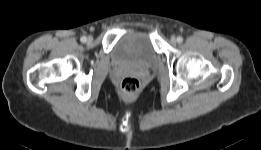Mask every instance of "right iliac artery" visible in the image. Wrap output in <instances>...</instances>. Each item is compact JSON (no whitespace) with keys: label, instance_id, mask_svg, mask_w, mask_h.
I'll use <instances>...</instances> for the list:
<instances>
[{"label":"right iliac artery","instance_id":"1","mask_svg":"<svg viewBox=\"0 0 261 150\" xmlns=\"http://www.w3.org/2000/svg\"><path fill=\"white\" fill-rule=\"evenodd\" d=\"M80 40H81V42H83V43H84V42H86L87 38H86L85 36H83V37H81V39H80Z\"/></svg>","mask_w":261,"mask_h":150}]
</instances>
